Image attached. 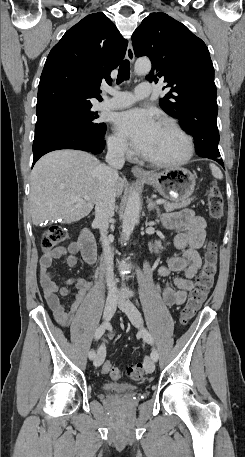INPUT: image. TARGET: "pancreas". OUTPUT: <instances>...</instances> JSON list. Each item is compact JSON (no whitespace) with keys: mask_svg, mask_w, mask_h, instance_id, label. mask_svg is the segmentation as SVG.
I'll list each match as a JSON object with an SVG mask.
<instances>
[{"mask_svg":"<svg viewBox=\"0 0 245 457\" xmlns=\"http://www.w3.org/2000/svg\"><path fill=\"white\" fill-rule=\"evenodd\" d=\"M191 200H193V198H186V200H180V202H168V200H165V202H161V204H164L165 210H175V208H183V206H188Z\"/></svg>","mask_w":245,"mask_h":457,"instance_id":"pancreas-1","label":"pancreas"}]
</instances>
